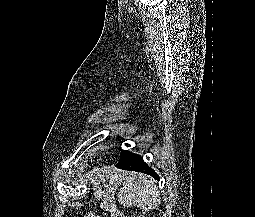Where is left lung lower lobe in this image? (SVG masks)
<instances>
[{"instance_id":"obj_1","label":"left lung lower lobe","mask_w":255,"mask_h":217,"mask_svg":"<svg viewBox=\"0 0 255 217\" xmlns=\"http://www.w3.org/2000/svg\"><path fill=\"white\" fill-rule=\"evenodd\" d=\"M116 167L123 170L145 173L159 180V176L143 161L141 156L126 150L122 151L120 154Z\"/></svg>"}]
</instances>
